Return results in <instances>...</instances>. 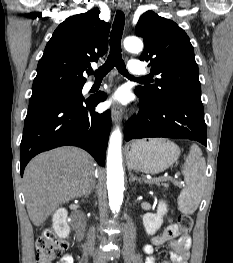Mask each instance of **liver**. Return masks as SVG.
<instances>
[{
    "label": "liver",
    "instance_id": "6515ba94",
    "mask_svg": "<svg viewBox=\"0 0 233 263\" xmlns=\"http://www.w3.org/2000/svg\"><path fill=\"white\" fill-rule=\"evenodd\" d=\"M95 175V161L84 150L61 147L39 154L24 171V195L30 220L42 225L61 204L86 195Z\"/></svg>",
    "mask_w": 233,
    "mask_h": 263
}]
</instances>
